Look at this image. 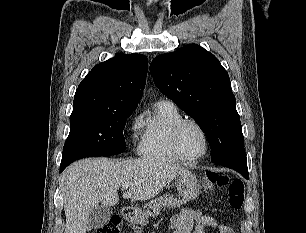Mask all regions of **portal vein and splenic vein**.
<instances>
[{
    "label": "portal vein and splenic vein",
    "instance_id": "portal-vein-and-splenic-vein-1",
    "mask_svg": "<svg viewBox=\"0 0 306 233\" xmlns=\"http://www.w3.org/2000/svg\"><path fill=\"white\" fill-rule=\"evenodd\" d=\"M122 187H123L124 189H127V188L130 187V184H123Z\"/></svg>",
    "mask_w": 306,
    "mask_h": 233
}]
</instances>
